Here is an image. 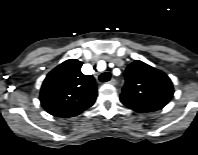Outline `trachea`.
Instances as JSON below:
<instances>
[{"instance_id": "1", "label": "trachea", "mask_w": 198, "mask_h": 155, "mask_svg": "<svg viewBox=\"0 0 198 155\" xmlns=\"http://www.w3.org/2000/svg\"><path fill=\"white\" fill-rule=\"evenodd\" d=\"M111 78V74L109 72H104L99 76L100 82H107Z\"/></svg>"}]
</instances>
